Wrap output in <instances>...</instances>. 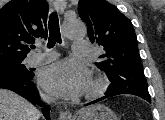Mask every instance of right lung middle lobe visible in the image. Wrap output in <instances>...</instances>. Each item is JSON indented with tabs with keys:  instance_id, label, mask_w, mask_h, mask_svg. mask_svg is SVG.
Segmentation results:
<instances>
[{
	"instance_id": "right-lung-middle-lobe-1",
	"label": "right lung middle lobe",
	"mask_w": 165,
	"mask_h": 120,
	"mask_svg": "<svg viewBox=\"0 0 165 120\" xmlns=\"http://www.w3.org/2000/svg\"><path fill=\"white\" fill-rule=\"evenodd\" d=\"M21 60H9L0 62V76L32 79L34 74L27 70Z\"/></svg>"
}]
</instances>
